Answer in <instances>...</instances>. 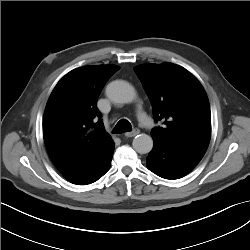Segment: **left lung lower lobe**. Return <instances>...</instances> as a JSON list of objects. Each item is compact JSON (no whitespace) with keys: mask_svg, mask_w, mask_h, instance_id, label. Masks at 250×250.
<instances>
[{"mask_svg":"<svg viewBox=\"0 0 250 250\" xmlns=\"http://www.w3.org/2000/svg\"><path fill=\"white\" fill-rule=\"evenodd\" d=\"M153 140V149L147 157V168L165 179L173 180L185 176L206 152L202 148L169 145L157 138Z\"/></svg>","mask_w":250,"mask_h":250,"instance_id":"obj_1","label":"left lung lower lobe"}]
</instances>
